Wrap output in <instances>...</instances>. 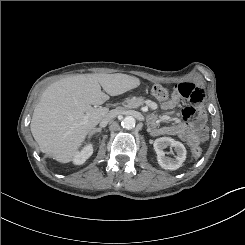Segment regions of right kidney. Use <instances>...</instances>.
<instances>
[{
	"label": "right kidney",
	"mask_w": 245,
	"mask_h": 245,
	"mask_svg": "<svg viewBox=\"0 0 245 245\" xmlns=\"http://www.w3.org/2000/svg\"><path fill=\"white\" fill-rule=\"evenodd\" d=\"M93 154V147L91 144H87L80 152H78L74 158V164H83Z\"/></svg>",
	"instance_id": "1"
}]
</instances>
